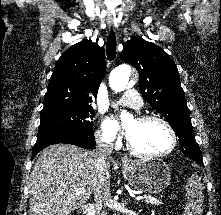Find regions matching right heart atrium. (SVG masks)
Masks as SVG:
<instances>
[{
	"mask_svg": "<svg viewBox=\"0 0 221 215\" xmlns=\"http://www.w3.org/2000/svg\"><path fill=\"white\" fill-rule=\"evenodd\" d=\"M96 140L99 144L110 146L115 144V138L114 136L107 134L106 132H103L102 130H98L96 132Z\"/></svg>",
	"mask_w": 221,
	"mask_h": 215,
	"instance_id": "right-heart-atrium-1",
	"label": "right heart atrium"
}]
</instances>
